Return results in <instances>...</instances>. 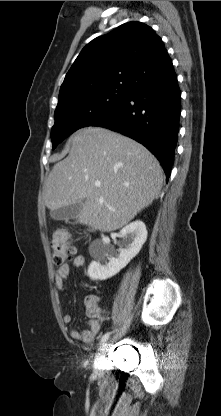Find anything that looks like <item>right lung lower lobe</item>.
Here are the masks:
<instances>
[{"label": "right lung lower lobe", "instance_id": "1", "mask_svg": "<svg viewBox=\"0 0 221 416\" xmlns=\"http://www.w3.org/2000/svg\"><path fill=\"white\" fill-rule=\"evenodd\" d=\"M181 113V92L174 69L164 79L141 84L106 120L108 128L143 144L160 161L166 180L171 173Z\"/></svg>", "mask_w": 221, "mask_h": 416}]
</instances>
